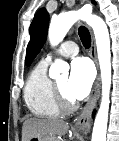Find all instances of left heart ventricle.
Wrapping results in <instances>:
<instances>
[{"label": "left heart ventricle", "mask_w": 119, "mask_h": 141, "mask_svg": "<svg viewBox=\"0 0 119 141\" xmlns=\"http://www.w3.org/2000/svg\"><path fill=\"white\" fill-rule=\"evenodd\" d=\"M59 89L61 90V92L63 93V95L68 99V100H72L67 92H66V85H67V77H63L60 80L56 81Z\"/></svg>", "instance_id": "obj_1"}]
</instances>
